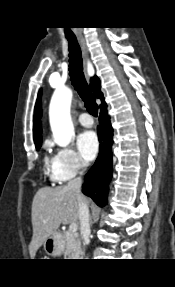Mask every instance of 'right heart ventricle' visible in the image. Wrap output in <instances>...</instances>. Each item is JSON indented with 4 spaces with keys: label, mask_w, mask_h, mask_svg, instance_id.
<instances>
[{
    "label": "right heart ventricle",
    "mask_w": 175,
    "mask_h": 287,
    "mask_svg": "<svg viewBox=\"0 0 175 287\" xmlns=\"http://www.w3.org/2000/svg\"><path fill=\"white\" fill-rule=\"evenodd\" d=\"M45 168L48 172H52L53 169V161L50 160L47 156L44 159Z\"/></svg>",
    "instance_id": "obj_1"
}]
</instances>
